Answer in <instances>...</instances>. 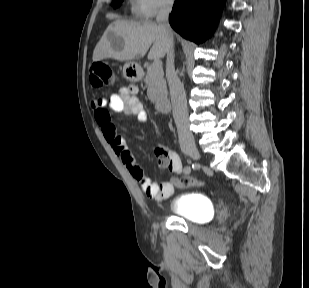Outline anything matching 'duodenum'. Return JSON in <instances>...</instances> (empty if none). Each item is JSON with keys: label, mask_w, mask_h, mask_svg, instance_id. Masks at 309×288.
<instances>
[{"label": "duodenum", "mask_w": 309, "mask_h": 288, "mask_svg": "<svg viewBox=\"0 0 309 288\" xmlns=\"http://www.w3.org/2000/svg\"><path fill=\"white\" fill-rule=\"evenodd\" d=\"M158 108L161 113H167L170 109V101L168 99H161L158 102Z\"/></svg>", "instance_id": "410a0bca"}]
</instances>
